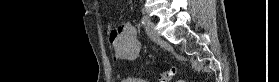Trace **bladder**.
<instances>
[{
	"instance_id": "31cf9c89",
	"label": "bladder",
	"mask_w": 279,
	"mask_h": 82,
	"mask_svg": "<svg viewBox=\"0 0 279 82\" xmlns=\"http://www.w3.org/2000/svg\"><path fill=\"white\" fill-rule=\"evenodd\" d=\"M123 82H148V81L142 79L136 80V79L127 78Z\"/></svg>"
}]
</instances>
